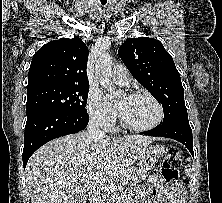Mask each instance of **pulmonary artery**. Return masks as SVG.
Wrapping results in <instances>:
<instances>
[{"label":"pulmonary artery","instance_id":"e3ab8cb5","mask_svg":"<svg viewBox=\"0 0 222 203\" xmlns=\"http://www.w3.org/2000/svg\"><path fill=\"white\" fill-rule=\"evenodd\" d=\"M112 79L119 86H128L129 72L124 66H115L112 70Z\"/></svg>","mask_w":222,"mask_h":203}]
</instances>
